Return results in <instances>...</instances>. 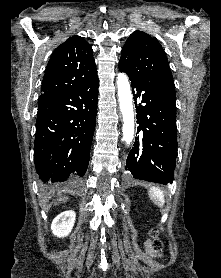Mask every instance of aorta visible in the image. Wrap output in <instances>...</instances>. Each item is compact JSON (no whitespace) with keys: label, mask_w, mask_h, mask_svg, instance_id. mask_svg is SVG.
I'll use <instances>...</instances> for the list:
<instances>
[{"label":"aorta","mask_w":221,"mask_h":278,"mask_svg":"<svg viewBox=\"0 0 221 278\" xmlns=\"http://www.w3.org/2000/svg\"><path fill=\"white\" fill-rule=\"evenodd\" d=\"M117 89L120 110L123 117V140L129 145L134 137V111L132 104L131 88L128 77L124 73L117 76Z\"/></svg>","instance_id":"aorta-1"}]
</instances>
